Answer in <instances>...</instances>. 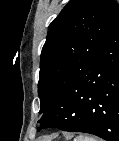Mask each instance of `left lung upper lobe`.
<instances>
[{"label":"left lung upper lobe","instance_id":"5c2ea615","mask_svg":"<svg viewBox=\"0 0 119 141\" xmlns=\"http://www.w3.org/2000/svg\"><path fill=\"white\" fill-rule=\"evenodd\" d=\"M118 15L114 0H71L52 21L40 56L39 113L84 71Z\"/></svg>","mask_w":119,"mask_h":141}]
</instances>
